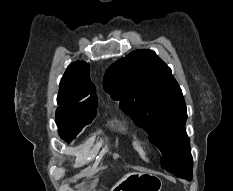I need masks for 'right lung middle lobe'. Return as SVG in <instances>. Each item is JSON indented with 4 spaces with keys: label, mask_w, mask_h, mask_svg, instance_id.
Listing matches in <instances>:
<instances>
[{
    "label": "right lung middle lobe",
    "mask_w": 233,
    "mask_h": 191,
    "mask_svg": "<svg viewBox=\"0 0 233 191\" xmlns=\"http://www.w3.org/2000/svg\"><path fill=\"white\" fill-rule=\"evenodd\" d=\"M96 114L71 115L56 111V123L59 134L67 142H71L85 125H89Z\"/></svg>",
    "instance_id": "obj_1"
}]
</instances>
